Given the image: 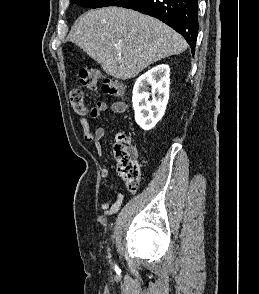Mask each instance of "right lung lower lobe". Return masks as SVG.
<instances>
[{"label": "right lung lower lobe", "instance_id": "98d812e1", "mask_svg": "<svg viewBox=\"0 0 259 294\" xmlns=\"http://www.w3.org/2000/svg\"><path fill=\"white\" fill-rule=\"evenodd\" d=\"M121 7L158 18L180 33L195 52L198 35V0H129Z\"/></svg>", "mask_w": 259, "mask_h": 294}]
</instances>
